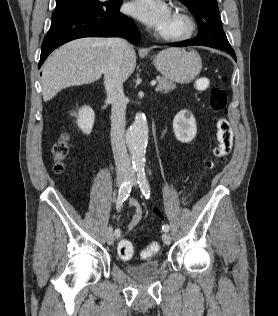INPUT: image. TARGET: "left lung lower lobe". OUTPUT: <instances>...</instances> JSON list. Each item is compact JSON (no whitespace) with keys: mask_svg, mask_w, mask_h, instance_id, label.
I'll return each mask as SVG.
<instances>
[{"mask_svg":"<svg viewBox=\"0 0 278 316\" xmlns=\"http://www.w3.org/2000/svg\"><path fill=\"white\" fill-rule=\"evenodd\" d=\"M172 46H179V47H182V46H190V45H204L196 40H187V41H183V42H180V43H173L171 44ZM206 46V45H204ZM210 47V46H209ZM214 48V47H213ZM225 51V50H224ZM228 52L235 60H236V55L234 53V51H226Z\"/></svg>","mask_w":278,"mask_h":316,"instance_id":"1","label":"left lung lower lobe"}]
</instances>
